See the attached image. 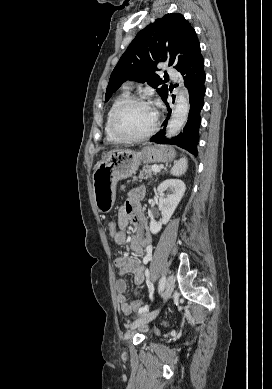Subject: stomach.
<instances>
[{"instance_id": "stomach-1", "label": "stomach", "mask_w": 272, "mask_h": 389, "mask_svg": "<svg viewBox=\"0 0 272 389\" xmlns=\"http://www.w3.org/2000/svg\"><path fill=\"white\" fill-rule=\"evenodd\" d=\"M171 146L146 145L139 151H116L101 161L93 173V195L97 210L108 213L114 206L117 182L132 176L141 162H169L175 158Z\"/></svg>"}]
</instances>
